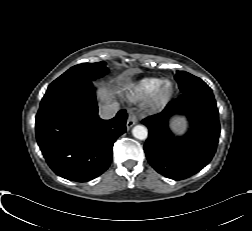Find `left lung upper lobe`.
<instances>
[{
    "label": "left lung upper lobe",
    "mask_w": 252,
    "mask_h": 231,
    "mask_svg": "<svg viewBox=\"0 0 252 231\" xmlns=\"http://www.w3.org/2000/svg\"><path fill=\"white\" fill-rule=\"evenodd\" d=\"M175 80L182 92L210 88L203 80L185 71H177Z\"/></svg>",
    "instance_id": "left-lung-upper-lobe-1"
}]
</instances>
